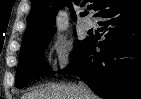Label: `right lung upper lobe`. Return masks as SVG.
Here are the masks:
<instances>
[{"mask_svg": "<svg viewBox=\"0 0 141 99\" xmlns=\"http://www.w3.org/2000/svg\"><path fill=\"white\" fill-rule=\"evenodd\" d=\"M89 2H93L95 6V15L99 16L106 11L112 0H32V9L27 18V28L24 34L23 43L27 44L54 33L56 28L55 15L57 11L67 3L71 9L86 6ZM86 15V11L80 13V16ZM73 18L76 20L75 12Z\"/></svg>", "mask_w": 141, "mask_h": 99, "instance_id": "obj_1", "label": "right lung upper lobe"}]
</instances>
